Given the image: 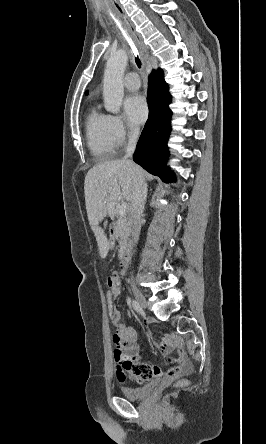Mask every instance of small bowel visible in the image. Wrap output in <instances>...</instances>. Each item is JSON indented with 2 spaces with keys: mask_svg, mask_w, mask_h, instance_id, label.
Here are the masks:
<instances>
[{
  "mask_svg": "<svg viewBox=\"0 0 266 444\" xmlns=\"http://www.w3.org/2000/svg\"><path fill=\"white\" fill-rule=\"evenodd\" d=\"M109 288L117 286V294L120 293V277L117 273H112L107 278ZM112 324L116 327L113 335L114 358L117 363L118 377L124 381L126 376L131 378L136 384H144L153 380H160L164 384H169L182 375H187L191 371V365L179 346L178 340L173 336L162 338L160 347L164 352L175 351L168 360L174 363L173 369L163 370L160 366L148 365L142 361L138 355L139 345L135 330L122 321L120 312L111 317Z\"/></svg>",
  "mask_w": 266,
  "mask_h": 444,
  "instance_id": "obj_1",
  "label": "small bowel"
}]
</instances>
